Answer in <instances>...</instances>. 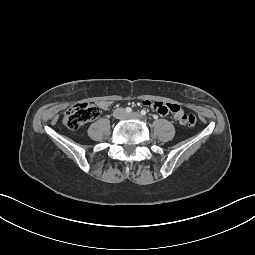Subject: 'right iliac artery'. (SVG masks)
<instances>
[{
	"label": "right iliac artery",
	"mask_w": 255,
	"mask_h": 255,
	"mask_svg": "<svg viewBox=\"0 0 255 255\" xmlns=\"http://www.w3.org/2000/svg\"><path fill=\"white\" fill-rule=\"evenodd\" d=\"M125 111H126L127 113H130V112H132V109H131L130 107H127V108L125 109Z\"/></svg>",
	"instance_id": "right-iliac-artery-1"
}]
</instances>
